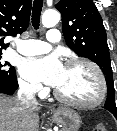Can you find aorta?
Masks as SVG:
<instances>
[{
	"label": "aorta",
	"instance_id": "1",
	"mask_svg": "<svg viewBox=\"0 0 117 131\" xmlns=\"http://www.w3.org/2000/svg\"><path fill=\"white\" fill-rule=\"evenodd\" d=\"M59 20L60 14L55 10H46L42 16V24L47 28L55 26Z\"/></svg>",
	"mask_w": 117,
	"mask_h": 131
}]
</instances>
